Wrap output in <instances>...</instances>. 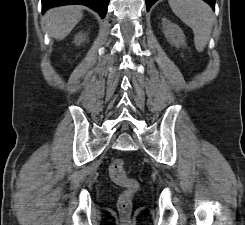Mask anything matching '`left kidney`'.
Listing matches in <instances>:
<instances>
[{
	"instance_id": "5707ae66",
	"label": "left kidney",
	"mask_w": 245,
	"mask_h": 225,
	"mask_svg": "<svg viewBox=\"0 0 245 225\" xmlns=\"http://www.w3.org/2000/svg\"><path fill=\"white\" fill-rule=\"evenodd\" d=\"M163 33L166 39L176 47L185 45V35L182 29L168 19H162Z\"/></svg>"
}]
</instances>
